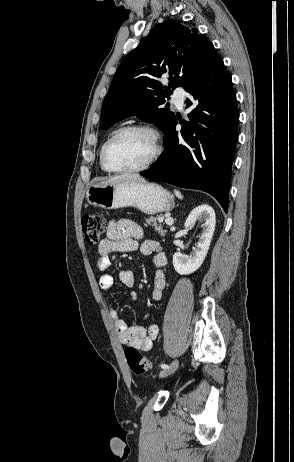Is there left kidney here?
Listing matches in <instances>:
<instances>
[{
    "label": "left kidney",
    "instance_id": "left-kidney-1",
    "mask_svg": "<svg viewBox=\"0 0 294 462\" xmlns=\"http://www.w3.org/2000/svg\"><path fill=\"white\" fill-rule=\"evenodd\" d=\"M197 220L204 222V226L196 248L190 255L181 252L173 255V266L180 275L191 274L202 265L215 231L216 217L212 207L204 204L194 208L185 221V228L191 227Z\"/></svg>",
    "mask_w": 294,
    "mask_h": 462
}]
</instances>
